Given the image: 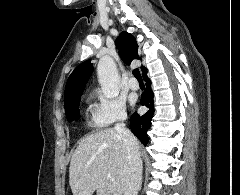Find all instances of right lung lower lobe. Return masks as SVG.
Segmentation results:
<instances>
[{
  "label": "right lung lower lobe",
  "instance_id": "98d812e1",
  "mask_svg": "<svg viewBox=\"0 0 240 195\" xmlns=\"http://www.w3.org/2000/svg\"><path fill=\"white\" fill-rule=\"evenodd\" d=\"M146 81V91L141 95L140 103L146 106L149 110L140 116L134 113L130 118V128L131 131L138 137V139L146 145L149 141L148 130L151 127L152 118L154 116V104L153 97L154 94L151 90V81L147 77Z\"/></svg>",
  "mask_w": 240,
  "mask_h": 195
}]
</instances>
